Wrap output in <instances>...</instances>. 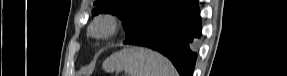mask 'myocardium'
I'll list each match as a JSON object with an SVG mask.
<instances>
[{
  "label": "myocardium",
  "mask_w": 287,
  "mask_h": 76,
  "mask_svg": "<svg viewBox=\"0 0 287 76\" xmlns=\"http://www.w3.org/2000/svg\"><path fill=\"white\" fill-rule=\"evenodd\" d=\"M119 20L113 15L96 18L90 26V34L97 39H108L118 30Z\"/></svg>",
  "instance_id": "1"
}]
</instances>
